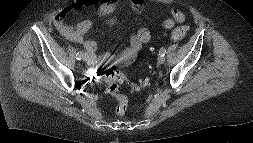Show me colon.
<instances>
[{"instance_id":"5ec220e1","label":"colon","mask_w":253,"mask_h":143,"mask_svg":"<svg viewBox=\"0 0 253 143\" xmlns=\"http://www.w3.org/2000/svg\"><path fill=\"white\" fill-rule=\"evenodd\" d=\"M186 34L187 28L180 27L170 32V38L174 41H180L185 38ZM134 58L135 55H131L122 60H117L105 56L99 60V65L103 69L100 73V77L107 85V94L115 103V113L118 115H123L128 107V99L121 91V84H125L132 91H141L150 85V78L148 76L142 78L137 83H133L127 80V77L123 72L111 68L113 65H128L134 60Z\"/></svg>"}]
</instances>
